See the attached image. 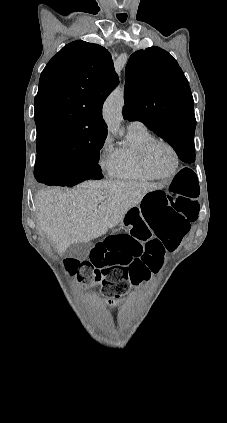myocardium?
<instances>
[{"mask_svg": "<svg viewBox=\"0 0 227 423\" xmlns=\"http://www.w3.org/2000/svg\"><path fill=\"white\" fill-rule=\"evenodd\" d=\"M156 144H161V145L165 146L166 148H168L170 150V152L173 155V159H174L173 168L166 175H158V174L154 173L151 170V168L148 164L149 151ZM137 159H138V164H139L140 169L150 179H155V180L171 179L172 177H174L177 174V172L180 168V156L178 154V151L176 150V148L170 142H168L164 139H161V138H150L145 143H143L140 146V148L137 152Z\"/></svg>", "mask_w": 227, "mask_h": 423, "instance_id": "myocardium-1", "label": "myocardium"}]
</instances>
